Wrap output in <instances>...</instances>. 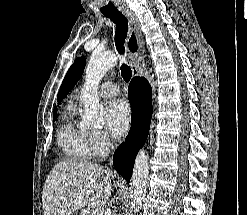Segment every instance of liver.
I'll use <instances>...</instances> for the list:
<instances>
[{
	"label": "liver",
	"mask_w": 247,
	"mask_h": 215,
	"mask_svg": "<svg viewBox=\"0 0 247 215\" xmlns=\"http://www.w3.org/2000/svg\"><path fill=\"white\" fill-rule=\"evenodd\" d=\"M113 174L87 162L57 163L42 193L44 215H71L87 204L100 207L109 199Z\"/></svg>",
	"instance_id": "6515ba94"
}]
</instances>
